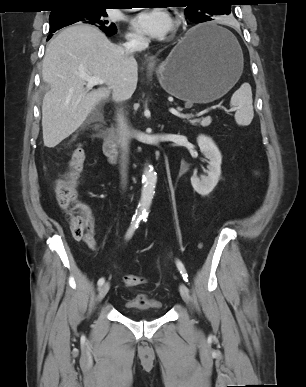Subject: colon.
Masks as SVG:
<instances>
[{
    "instance_id": "colon-1",
    "label": "colon",
    "mask_w": 306,
    "mask_h": 387,
    "mask_svg": "<svg viewBox=\"0 0 306 387\" xmlns=\"http://www.w3.org/2000/svg\"><path fill=\"white\" fill-rule=\"evenodd\" d=\"M85 150L78 146L74 149L68 163V170L55 183V197L60 208L65 211L69 219V227L74 238H82L89 230V220L83 207L78 202L77 181L85 162ZM125 286L142 285L146 279L140 275H125Z\"/></svg>"
}]
</instances>
